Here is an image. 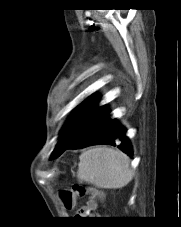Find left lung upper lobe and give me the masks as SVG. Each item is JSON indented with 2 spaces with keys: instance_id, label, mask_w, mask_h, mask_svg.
Segmentation results:
<instances>
[{
  "instance_id": "1",
  "label": "left lung upper lobe",
  "mask_w": 181,
  "mask_h": 227,
  "mask_svg": "<svg viewBox=\"0 0 181 227\" xmlns=\"http://www.w3.org/2000/svg\"><path fill=\"white\" fill-rule=\"evenodd\" d=\"M97 102L98 100L84 103L71 116L61 131L52 159L58 157L63 148L70 144L82 132L92 115L99 109Z\"/></svg>"
}]
</instances>
